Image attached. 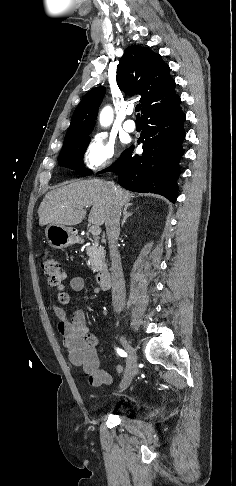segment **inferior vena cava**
Segmentation results:
<instances>
[{
  "mask_svg": "<svg viewBox=\"0 0 236 486\" xmlns=\"http://www.w3.org/2000/svg\"><path fill=\"white\" fill-rule=\"evenodd\" d=\"M111 198L109 213L105 222L111 258L112 303L116 312H120L125 305V281L122 270L121 257L118 251V237L120 234L121 204L118 199L117 187L112 181L106 183Z\"/></svg>",
  "mask_w": 236,
  "mask_h": 486,
  "instance_id": "inferior-vena-cava-1",
  "label": "inferior vena cava"
}]
</instances>
